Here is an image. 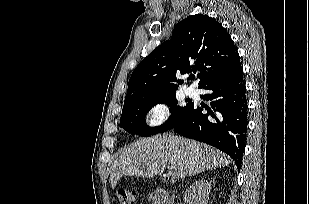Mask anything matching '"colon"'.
<instances>
[{
	"instance_id": "obj_1",
	"label": "colon",
	"mask_w": 309,
	"mask_h": 204,
	"mask_svg": "<svg viewBox=\"0 0 309 204\" xmlns=\"http://www.w3.org/2000/svg\"><path fill=\"white\" fill-rule=\"evenodd\" d=\"M115 196L119 204H133L136 199V194L133 190L121 188L115 192Z\"/></svg>"
}]
</instances>
